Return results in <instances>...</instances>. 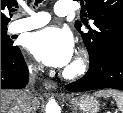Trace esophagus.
Listing matches in <instances>:
<instances>
[{"instance_id": "obj_1", "label": "esophagus", "mask_w": 123, "mask_h": 113, "mask_svg": "<svg viewBox=\"0 0 123 113\" xmlns=\"http://www.w3.org/2000/svg\"><path fill=\"white\" fill-rule=\"evenodd\" d=\"M43 85L47 90H55L57 88V84L51 80H45Z\"/></svg>"}]
</instances>
